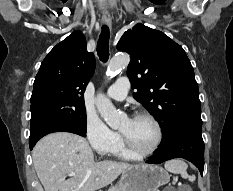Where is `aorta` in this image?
<instances>
[{
	"mask_svg": "<svg viewBox=\"0 0 233 191\" xmlns=\"http://www.w3.org/2000/svg\"><path fill=\"white\" fill-rule=\"evenodd\" d=\"M129 62L130 56L127 53H120L113 57L110 61L107 73L109 75L115 74L126 67ZM96 107L101 117L111 128H118L121 120L125 118V115L119 113L111 101L105 98L103 95H99L97 97Z\"/></svg>",
	"mask_w": 233,
	"mask_h": 191,
	"instance_id": "aorta-1",
	"label": "aorta"
}]
</instances>
